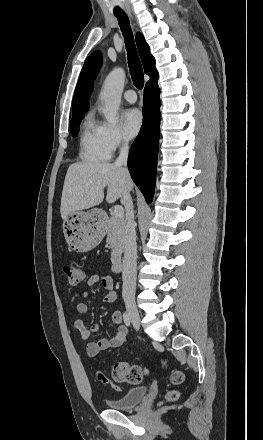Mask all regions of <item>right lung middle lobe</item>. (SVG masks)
Returning a JSON list of instances; mask_svg holds the SVG:
<instances>
[{
    "label": "right lung middle lobe",
    "mask_w": 263,
    "mask_h": 440,
    "mask_svg": "<svg viewBox=\"0 0 263 440\" xmlns=\"http://www.w3.org/2000/svg\"><path fill=\"white\" fill-rule=\"evenodd\" d=\"M84 114L77 115L75 117H72L71 120V134L72 136H77L79 132V125L80 121L83 119Z\"/></svg>",
    "instance_id": "1"
}]
</instances>
